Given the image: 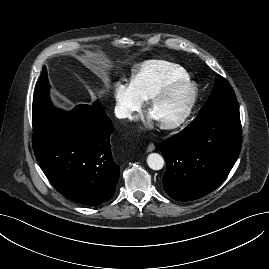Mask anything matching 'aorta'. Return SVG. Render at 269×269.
Here are the masks:
<instances>
[{"label":"aorta","instance_id":"762f6f07","mask_svg":"<svg viewBox=\"0 0 269 269\" xmlns=\"http://www.w3.org/2000/svg\"><path fill=\"white\" fill-rule=\"evenodd\" d=\"M147 164L153 170H161L164 166V159L158 153H151L147 157Z\"/></svg>","mask_w":269,"mask_h":269}]
</instances>
